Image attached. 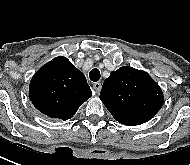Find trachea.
Masks as SVG:
<instances>
[{
	"instance_id": "trachea-1",
	"label": "trachea",
	"mask_w": 190,
	"mask_h": 165,
	"mask_svg": "<svg viewBox=\"0 0 190 165\" xmlns=\"http://www.w3.org/2000/svg\"><path fill=\"white\" fill-rule=\"evenodd\" d=\"M100 71L97 68H94L89 73V78L93 82H97L100 79Z\"/></svg>"
}]
</instances>
